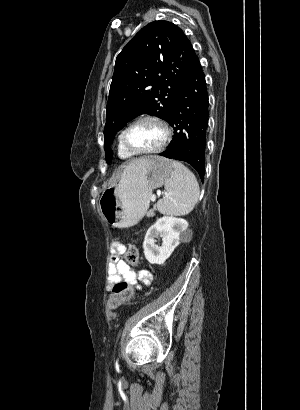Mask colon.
<instances>
[{
  "instance_id": "1",
  "label": "colon",
  "mask_w": 300,
  "mask_h": 410,
  "mask_svg": "<svg viewBox=\"0 0 300 410\" xmlns=\"http://www.w3.org/2000/svg\"><path fill=\"white\" fill-rule=\"evenodd\" d=\"M123 257L125 262L135 264L139 259V250L135 245L124 246ZM134 294L133 288L127 282H117L109 296L108 304L111 308H116L127 302Z\"/></svg>"
}]
</instances>
